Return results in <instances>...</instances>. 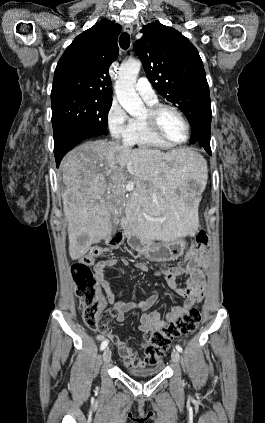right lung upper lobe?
<instances>
[{"instance_id":"cb5924a9","label":"right lung upper lobe","mask_w":265,"mask_h":423,"mask_svg":"<svg viewBox=\"0 0 265 423\" xmlns=\"http://www.w3.org/2000/svg\"><path fill=\"white\" fill-rule=\"evenodd\" d=\"M121 26L102 19L77 36L55 69L51 99L79 95L112 100L109 67L118 57Z\"/></svg>"}]
</instances>
